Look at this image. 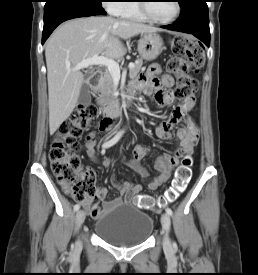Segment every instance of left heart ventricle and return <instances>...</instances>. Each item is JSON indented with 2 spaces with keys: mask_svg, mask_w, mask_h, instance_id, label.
Here are the masks:
<instances>
[{
  "mask_svg": "<svg viewBox=\"0 0 258 275\" xmlns=\"http://www.w3.org/2000/svg\"><path fill=\"white\" fill-rule=\"evenodd\" d=\"M148 8L151 15L160 20L170 19L176 12L175 1L171 0L151 1Z\"/></svg>",
  "mask_w": 258,
  "mask_h": 275,
  "instance_id": "obj_1",
  "label": "left heart ventricle"
}]
</instances>
